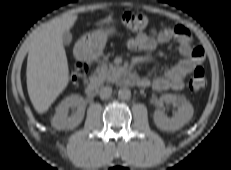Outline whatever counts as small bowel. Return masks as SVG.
Masks as SVG:
<instances>
[{
  "label": "small bowel",
  "mask_w": 231,
  "mask_h": 170,
  "mask_svg": "<svg viewBox=\"0 0 231 170\" xmlns=\"http://www.w3.org/2000/svg\"><path fill=\"white\" fill-rule=\"evenodd\" d=\"M172 40L178 43L181 60L153 79L143 77L139 82L141 85L152 86L157 91L181 90L184 87L185 77L204 62V50L200 46L193 45L189 30L181 24L160 31L153 30L149 33L139 34L128 39L125 45L133 51L149 52Z\"/></svg>",
  "instance_id": "obj_1"
}]
</instances>
